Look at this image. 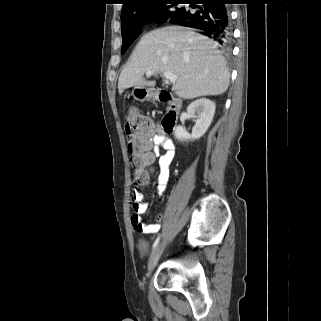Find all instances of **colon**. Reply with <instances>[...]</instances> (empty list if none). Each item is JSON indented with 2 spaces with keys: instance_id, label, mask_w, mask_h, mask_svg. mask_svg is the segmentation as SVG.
I'll use <instances>...</instances> for the list:
<instances>
[{
  "instance_id": "colon-1",
  "label": "colon",
  "mask_w": 321,
  "mask_h": 321,
  "mask_svg": "<svg viewBox=\"0 0 321 321\" xmlns=\"http://www.w3.org/2000/svg\"><path fill=\"white\" fill-rule=\"evenodd\" d=\"M151 121L136 107H130L125 117V132L128 142V151L132 164L135 168L134 177L137 182H142L147 178L145 166L150 153L147 138L152 130ZM146 196L145 192L141 193Z\"/></svg>"
}]
</instances>
